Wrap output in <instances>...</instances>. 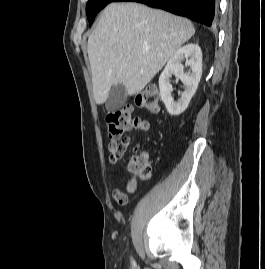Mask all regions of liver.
<instances>
[{
  "instance_id": "liver-1",
  "label": "liver",
  "mask_w": 265,
  "mask_h": 269,
  "mask_svg": "<svg viewBox=\"0 0 265 269\" xmlns=\"http://www.w3.org/2000/svg\"><path fill=\"white\" fill-rule=\"evenodd\" d=\"M195 33L186 18L138 3H111L88 39L87 52L97 104L123 84L140 93Z\"/></svg>"
}]
</instances>
